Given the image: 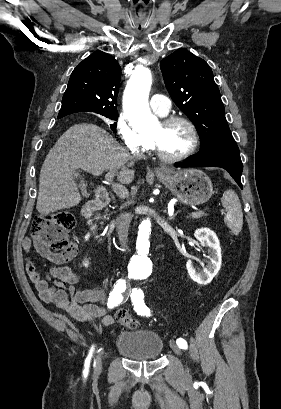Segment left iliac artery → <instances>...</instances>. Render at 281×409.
Instances as JSON below:
<instances>
[{
    "label": "left iliac artery",
    "mask_w": 281,
    "mask_h": 409,
    "mask_svg": "<svg viewBox=\"0 0 281 409\" xmlns=\"http://www.w3.org/2000/svg\"><path fill=\"white\" fill-rule=\"evenodd\" d=\"M130 297L134 305V310L137 312V314L143 315V316L150 315V310L145 305L144 300H143L144 299L143 291L140 288H134L131 292ZM176 343L180 348H183V349L187 348V342L182 338H178Z\"/></svg>",
    "instance_id": "obj_1"
}]
</instances>
